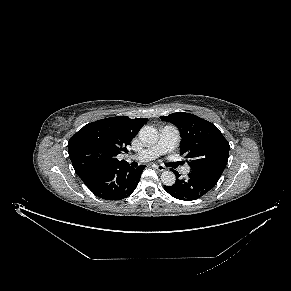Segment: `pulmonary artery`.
<instances>
[{
    "mask_svg": "<svg viewBox=\"0 0 291 291\" xmlns=\"http://www.w3.org/2000/svg\"><path fill=\"white\" fill-rule=\"evenodd\" d=\"M180 138L179 130L172 125H166L160 132L159 140L156 144L136 153L130 155V160H137L146 162L153 160L160 155L171 152L178 144ZM190 172V167H184L183 173L187 174Z\"/></svg>",
    "mask_w": 291,
    "mask_h": 291,
    "instance_id": "1",
    "label": "pulmonary artery"
}]
</instances>
